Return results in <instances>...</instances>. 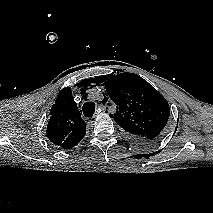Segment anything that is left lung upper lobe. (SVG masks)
Here are the masks:
<instances>
[{
	"mask_svg": "<svg viewBox=\"0 0 213 213\" xmlns=\"http://www.w3.org/2000/svg\"><path fill=\"white\" fill-rule=\"evenodd\" d=\"M102 78L107 96L117 105L116 113L110 115L115 122L135 141L157 139L170 115L167 100L136 74L117 71V75L112 73Z\"/></svg>",
	"mask_w": 213,
	"mask_h": 213,
	"instance_id": "5c2ea615",
	"label": "left lung upper lobe"
}]
</instances>
